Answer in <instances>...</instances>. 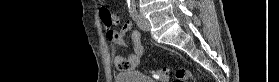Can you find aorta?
I'll use <instances>...</instances> for the list:
<instances>
[{
	"mask_svg": "<svg viewBox=\"0 0 279 82\" xmlns=\"http://www.w3.org/2000/svg\"><path fill=\"white\" fill-rule=\"evenodd\" d=\"M128 2H129V4H130L131 6H134V5H135V0H128Z\"/></svg>",
	"mask_w": 279,
	"mask_h": 82,
	"instance_id": "762f6f07",
	"label": "aorta"
}]
</instances>
